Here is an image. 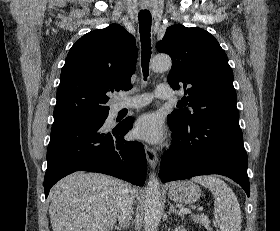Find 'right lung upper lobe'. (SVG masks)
I'll list each match as a JSON object with an SVG mask.
<instances>
[{"mask_svg":"<svg viewBox=\"0 0 280 231\" xmlns=\"http://www.w3.org/2000/svg\"><path fill=\"white\" fill-rule=\"evenodd\" d=\"M137 53L134 37L115 23L81 37L61 71L53 125L108 113L106 93L132 88Z\"/></svg>","mask_w":280,"mask_h":231,"instance_id":"1","label":"right lung upper lobe"}]
</instances>
